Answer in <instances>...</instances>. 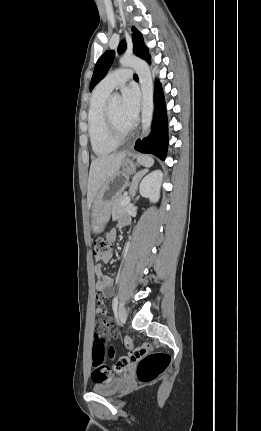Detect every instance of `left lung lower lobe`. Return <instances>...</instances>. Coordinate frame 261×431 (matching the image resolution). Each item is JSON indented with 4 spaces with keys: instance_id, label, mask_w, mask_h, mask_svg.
Wrapping results in <instances>:
<instances>
[{
    "instance_id": "0a47b994",
    "label": "left lung lower lobe",
    "mask_w": 261,
    "mask_h": 431,
    "mask_svg": "<svg viewBox=\"0 0 261 431\" xmlns=\"http://www.w3.org/2000/svg\"><path fill=\"white\" fill-rule=\"evenodd\" d=\"M150 63V56L146 59ZM155 111L150 135L142 141L138 139L135 144V149L142 153L153 154L164 160L167 154L168 147V128L167 116L164 103V96L160 83L156 82L155 87Z\"/></svg>"
}]
</instances>
